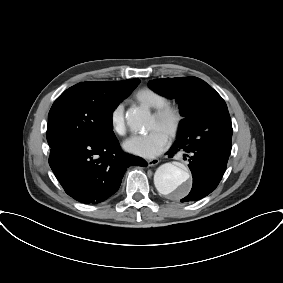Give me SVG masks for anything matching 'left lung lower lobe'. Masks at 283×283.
<instances>
[{
  "instance_id": "left-lung-lower-lobe-1",
  "label": "left lung lower lobe",
  "mask_w": 283,
  "mask_h": 283,
  "mask_svg": "<svg viewBox=\"0 0 283 283\" xmlns=\"http://www.w3.org/2000/svg\"><path fill=\"white\" fill-rule=\"evenodd\" d=\"M186 138L177 139L167 152L172 156L178 151L188 157L189 168L193 176V186L190 193L181 202L199 200L210 194L219 184L229 158L228 153H215L199 145L192 133H186ZM184 157V159H186Z\"/></svg>"
}]
</instances>
